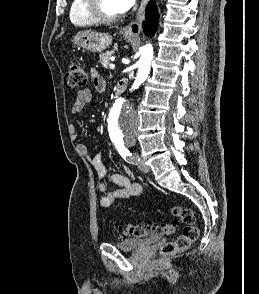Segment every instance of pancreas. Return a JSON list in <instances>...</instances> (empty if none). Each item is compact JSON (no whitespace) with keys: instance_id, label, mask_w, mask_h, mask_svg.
Returning a JSON list of instances; mask_svg holds the SVG:
<instances>
[{"instance_id":"pancreas-1","label":"pancreas","mask_w":259,"mask_h":294,"mask_svg":"<svg viewBox=\"0 0 259 294\" xmlns=\"http://www.w3.org/2000/svg\"><path fill=\"white\" fill-rule=\"evenodd\" d=\"M113 51H107L105 53L100 54L99 56V63H101V65L104 68H108L109 63H110V57L113 55Z\"/></svg>"}]
</instances>
